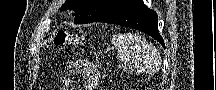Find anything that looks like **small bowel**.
I'll return each mask as SVG.
<instances>
[{
	"label": "small bowel",
	"instance_id": "obj_1",
	"mask_svg": "<svg viewBox=\"0 0 216 90\" xmlns=\"http://www.w3.org/2000/svg\"><path fill=\"white\" fill-rule=\"evenodd\" d=\"M76 68L78 67H76L75 65H71L69 67L70 70ZM82 75L85 90H93L99 81V73L97 69L91 64L84 65L82 67ZM72 87L73 81L71 77L66 74L62 77V84L57 88V90H72Z\"/></svg>",
	"mask_w": 216,
	"mask_h": 90
}]
</instances>
